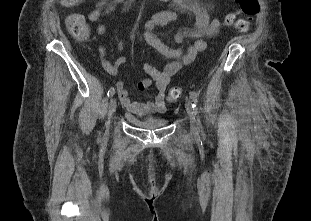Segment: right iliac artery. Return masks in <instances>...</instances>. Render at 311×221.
<instances>
[{"instance_id": "1", "label": "right iliac artery", "mask_w": 311, "mask_h": 221, "mask_svg": "<svg viewBox=\"0 0 311 221\" xmlns=\"http://www.w3.org/2000/svg\"><path fill=\"white\" fill-rule=\"evenodd\" d=\"M115 93V89L114 87H111L109 90H108V93H107V96L108 97H112Z\"/></svg>"}]
</instances>
